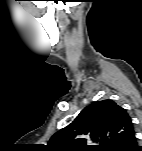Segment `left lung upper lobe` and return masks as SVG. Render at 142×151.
Here are the masks:
<instances>
[{"instance_id":"5c2ea615","label":"left lung upper lobe","mask_w":142,"mask_h":151,"mask_svg":"<svg viewBox=\"0 0 142 151\" xmlns=\"http://www.w3.org/2000/svg\"><path fill=\"white\" fill-rule=\"evenodd\" d=\"M133 132L132 120L124 108L112 100L96 101L55 133L48 147L53 151H119Z\"/></svg>"}]
</instances>
